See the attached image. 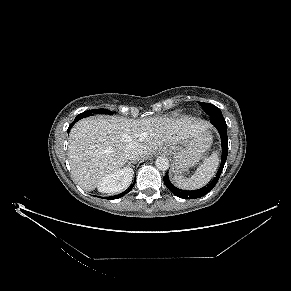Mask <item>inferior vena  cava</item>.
<instances>
[{
    "mask_svg": "<svg viewBox=\"0 0 291 291\" xmlns=\"http://www.w3.org/2000/svg\"><path fill=\"white\" fill-rule=\"evenodd\" d=\"M142 150L137 146H130L127 148V156L129 160H137L141 157Z\"/></svg>",
    "mask_w": 291,
    "mask_h": 291,
    "instance_id": "602c4592",
    "label": "inferior vena cava"
}]
</instances>
